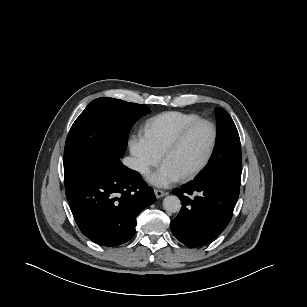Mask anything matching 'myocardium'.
<instances>
[{"label":"myocardium","instance_id":"myocardium-1","mask_svg":"<svg viewBox=\"0 0 307 307\" xmlns=\"http://www.w3.org/2000/svg\"><path fill=\"white\" fill-rule=\"evenodd\" d=\"M201 124H206L211 128L212 131V138H211V142L209 145V148L206 152V155L204 156L203 160L201 161V163L191 172L185 174L182 176V180L184 181H189L194 179L196 176H198L208 165L214 150L216 148V144H217V139H218V130L216 125L205 118H200L197 119L189 124H187L177 135L176 137L172 140V142L167 146V148L165 149V151L163 152V161L166 160V158L172 154L175 150H177L180 145L184 142V140L186 139V137L189 135V133L197 126L201 125Z\"/></svg>","mask_w":307,"mask_h":307}]
</instances>
